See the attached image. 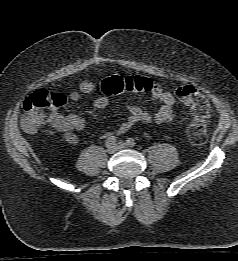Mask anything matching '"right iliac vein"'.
Here are the masks:
<instances>
[{"instance_id": "1", "label": "right iliac vein", "mask_w": 238, "mask_h": 261, "mask_svg": "<svg viewBox=\"0 0 238 261\" xmlns=\"http://www.w3.org/2000/svg\"><path fill=\"white\" fill-rule=\"evenodd\" d=\"M117 151V146L116 145H112L110 147L107 148V152L110 154H113Z\"/></svg>"}]
</instances>
